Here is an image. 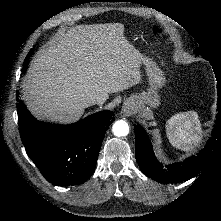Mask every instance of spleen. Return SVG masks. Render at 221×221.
<instances>
[{
  "mask_svg": "<svg viewBox=\"0 0 221 221\" xmlns=\"http://www.w3.org/2000/svg\"><path fill=\"white\" fill-rule=\"evenodd\" d=\"M170 143L183 151H191L201 140L202 127L195 111L177 113L166 124Z\"/></svg>",
  "mask_w": 221,
  "mask_h": 221,
  "instance_id": "3e777b00",
  "label": "spleen"
}]
</instances>
